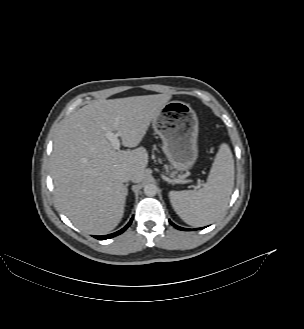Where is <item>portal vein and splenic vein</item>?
Here are the masks:
<instances>
[{"instance_id": "18ae733b", "label": "portal vein and splenic vein", "mask_w": 304, "mask_h": 329, "mask_svg": "<svg viewBox=\"0 0 304 329\" xmlns=\"http://www.w3.org/2000/svg\"><path fill=\"white\" fill-rule=\"evenodd\" d=\"M119 136L120 135L118 133H114L112 131H108L106 133L107 139L111 142L112 147L116 150L120 148V140L118 138ZM173 181L175 183H182V184L190 182V180H180V179H175ZM200 186H202V184L199 183L197 187L199 188Z\"/></svg>"}]
</instances>
